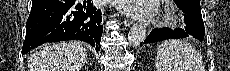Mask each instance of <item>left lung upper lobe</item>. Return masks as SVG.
<instances>
[{"instance_id": "5c2ea615", "label": "left lung upper lobe", "mask_w": 230, "mask_h": 71, "mask_svg": "<svg viewBox=\"0 0 230 71\" xmlns=\"http://www.w3.org/2000/svg\"><path fill=\"white\" fill-rule=\"evenodd\" d=\"M174 1L176 2V4L181 3V2L190 1V2L200 5V0H174Z\"/></svg>"}]
</instances>
